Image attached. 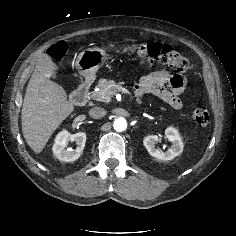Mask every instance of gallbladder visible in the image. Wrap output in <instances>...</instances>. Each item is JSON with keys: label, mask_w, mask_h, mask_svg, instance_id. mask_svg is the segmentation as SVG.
Listing matches in <instances>:
<instances>
[{"label": "gallbladder", "mask_w": 236, "mask_h": 236, "mask_svg": "<svg viewBox=\"0 0 236 236\" xmlns=\"http://www.w3.org/2000/svg\"><path fill=\"white\" fill-rule=\"evenodd\" d=\"M37 62H39L45 69V73L49 76L54 73V65L49 55L42 54L38 57Z\"/></svg>", "instance_id": "gallbladder-1"}]
</instances>
